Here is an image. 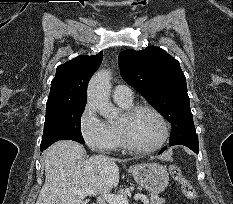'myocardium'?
<instances>
[{
    "label": "myocardium",
    "instance_id": "f54148a6",
    "mask_svg": "<svg viewBox=\"0 0 233 204\" xmlns=\"http://www.w3.org/2000/svg\"><path fill=\"white\" fill-rule=\"evenodd\" d=\"M141 111L151 112L159 120L162 126V137L160 141L152 147H147V148L140 147L136 145L130 137L129 123L134 118V116ZM117 128L123 146L132 152L142 153V154L153 153L159 150L160 148H162L165 145V143L168 141L170 134L168 123L165 117L162 115V113L159 112L156 108L145 104L132 105L130 108L124 110L122 114V121L117 124Z\"/></svg>",
    "mask_w": 233,
    "mask_h": 204
}]
</instances>
